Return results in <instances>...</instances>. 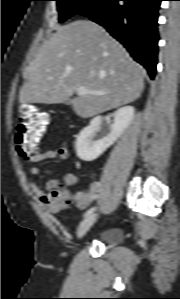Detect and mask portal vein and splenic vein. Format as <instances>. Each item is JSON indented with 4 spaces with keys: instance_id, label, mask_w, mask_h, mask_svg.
<instances>
[{
    "instance_id": "18ae733b",
    "label": "portal vein and splenic vein",
    "mask_w": 180,
    "mask_h": 299,
    "mask_svg": "<svg viewBox=\"0 0 180 299\" xmlns=\"http://www.w3.org/2000/svg\"><path fill=\"white\" fill-rule=\"evenodd\" d=\"M76 92L78 95H86V94H92V95H103L105 93L103 92H98V91H90L86 89L85 87H78L76 89Z\"/></svg>"
}]
</instances>
